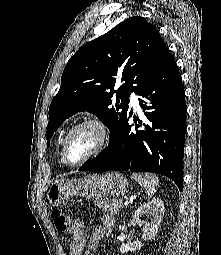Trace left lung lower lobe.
Masks as SVG:
<instances>
[{"label":"left lung lower lobe","instance_id":"obj_1","mask_svg":"<svg viewBox=\"0 0 221 255\" xmlns=\"http://www.w3.org/2000/svg\"><path fill=\"white\" fill-rule=\"evenodd\" d=\"M137 95L149 98L152 106L139 99L149 124H128L132 113L110 135L109 144L80 171L108 170L152 172L172 179L182 189L183 155L186 132V102L181 75L170 50L163 53L158 66Z\"/></svg>","mask_w":221,"mask_h":255}]
</instances>
